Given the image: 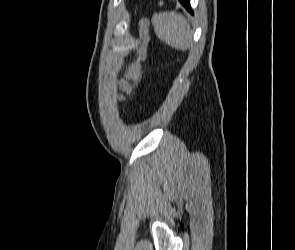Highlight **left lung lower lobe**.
<instances>
[{"instance_id":"0a47b994","label":"left lung lower lobe","mask_w":295,"mask_h":250,"mask_svg":"<svg viewBox=\"0 0 295 250\" xmlns=\"http://www.w3.org/2000/svg\"><path fill=\"white\" fill-rule=\"evenodd\" d=\"M179 2L192 13L191 7H190V0H179Z\"/></svg>"}]
</instances>
